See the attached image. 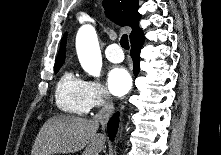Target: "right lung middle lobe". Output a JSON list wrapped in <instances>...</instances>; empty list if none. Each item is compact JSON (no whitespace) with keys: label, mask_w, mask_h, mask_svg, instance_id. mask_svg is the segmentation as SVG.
Listing matches in <instances>:
<instances>
[{"label":"right lung middle lobe","mask_w":221,"mask_h":155,"mask_svg":"<svg viewBox=\"0 0 221 155\" xmlns=\"http://www.w3.org/2000/svg\"><path fill=\"white\" fill-rule=\"evenodd\" d=\"M62 65H59V66H55V72H58V70L60 69V67H61Z\"/></svg>","instance_id":"right-lung-middle-lobe-1"}]
</instances>
